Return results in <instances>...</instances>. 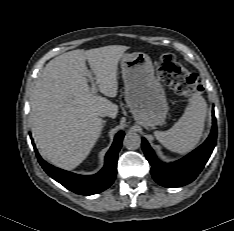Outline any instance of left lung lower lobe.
Listing matches in <instances>:
<instances>
[{"label": "left lung lower lobe", "instance_id": "left-lung-lower-lobe-1", "mask_svg": "<svg viewBox=\"0 0 234 231\" xmlns=\"http://www.w3.org/2000/svg\"><path fill=\"white\" fill-rule=\"evenodd\" d=\"M213 126L207 140L184 158L165 164L160 162L148 142L142 138V149L149 161L154 180L164 187H181L192 182L208 161L217 139V124L212 111Z\"/></svg>", "mask_w": 234, "mask_h": 231}]
</instances>
